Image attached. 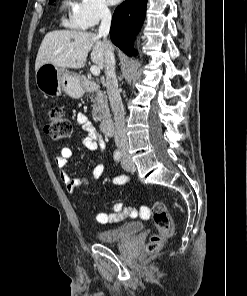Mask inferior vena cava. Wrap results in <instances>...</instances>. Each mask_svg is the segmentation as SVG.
I'll list each match as a JSON object with an SVG mask.
<instances>
[{
	"label": "inferior vena cava",
	"mask_w": 247,
	"mask_h": 296,
	"mask_svg": "<svg viewBox=\"0 0 247 296\" xmlns=\"http://www.w3.org/2000/svg\"><path fill=\"white\" fill-rule=\"evenodd\" d=\"M111 25V13L107 7L101 9V24L99 26V36L103 37L105 43V75L106 88L110 101L111 109L115 121L114 140L118 149L127 151L128 142L125 126V112L120 92L118 90V82L115 75V56L113 47L107 39Z\"/></svg>",
	"instance_id": "1"
}]
</instances>
